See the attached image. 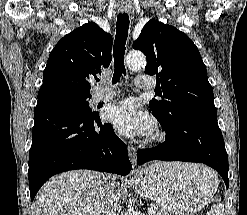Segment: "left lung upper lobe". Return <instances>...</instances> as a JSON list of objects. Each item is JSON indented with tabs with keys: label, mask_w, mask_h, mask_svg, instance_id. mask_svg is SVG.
<instances>
[{
	"label": "left lung upper lobe",
	"mask_w": 247,
	"mask_h": 215,
	"mask_svg": "<svg viewBox=\"0 0 247 215\" xmlns=\"http://www.w3.org/2000/svg\"><path fill=\"white\" fill-rule=\"evenodd\" d=\"M133 48L146 55L145 73L157 76L156 94L162 100L152 99L149 107L160 120L171 124L183 115L217 116L206 66L185 33L150 20Z\"/></svg>",
	"instance_id": "left-lung-upper-lobe-1"
}]
</instances>
